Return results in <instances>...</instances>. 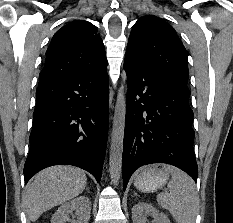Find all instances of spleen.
Wrapping results in <instances>:
<instances>
[{"label":"spleen","instance_id":"3e777b00","mask_svg":"<svg viewBox=\"0 0 233 223\" xmlns=\"http://www.w3.org/2000/svg\"><path fill=\"white\" fill-rule=\"evenodd\" d=\"M172 175L168 183L169 191L158 193L157 201L164 209H169L177 223H195L199 209V195L195 183L187 173L170 167Z\"/></svg>","mask_w":233,"mask_h":223}]
</instances>
